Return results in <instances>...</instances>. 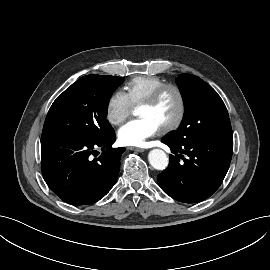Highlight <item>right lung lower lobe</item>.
Masks as SVG:
<instances>
[{"instance_id": "1", "label": "right lung lower lobe", "mask_w": 270, "mask_h": 270, "mask_svg": "<svg viewBox=\"0 0 270 270\" xmlns=\"http://www.w3.org/2000/svg\"><path fill=\"white\" fill-rule=\"evenodd\" d=\"M114 130L98 141L41 138V170L49 188L72 205L92 204L113 187L125 148H112ZM103 153L92 158L96 149Z\"/></svg>"}]
</instances>
